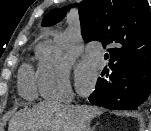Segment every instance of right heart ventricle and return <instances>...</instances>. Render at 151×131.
Wrapping results in <instances>:
<instances>
[{"label":"right heart ventricle","instance_id":"1","mask_svg":"<svg viewBox=\"0 0 151 131\" xmlns=\"http://www.w3.org/2000/svg\"><path fill=\"white\" fill-rule=\"evenodd\" d=\"M37 79L29 66L22 68L19 75V92L26 99H34L37 95Z\"/></svg>","mask_w":151,"mask_h":131}]
</instances>
